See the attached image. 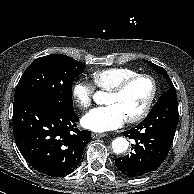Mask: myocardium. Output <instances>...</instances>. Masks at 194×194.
Returning <instances> with one entry per match:
<instances>
[{
    "instance_id": "1",
    "label": "myocardium",
    "mask_w": 194,
    "mask_h": 194,
    "mask_svg": "<svg viewBox=\"0 0 194 194\" xmlns=\"http://www.w3.org/2000/svg\"><path fill=\"white\" fill-rule=\"evenodd\" d=\"M141 78H145V79H148L150 81L151 86H152V90H151V94L149 96V99H148L146 105L144 106V108L142 109V111L140 113H138L136 116H133V117L125 120L127 123H130V124L138 123V122L142 121L149 114V112L153 106V103L155 101L157 91H158V85H157L156 79L152 75L147 74V73H137L133 76H130V77L122 80L115 87H113L112 89H110L108 91V94L120 95L132 82H134L138 79H141Z\"/></svg>"
}]
</instances>
